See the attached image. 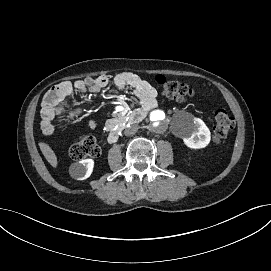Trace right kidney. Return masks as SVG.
I'll return each mask as SVG.
<instances>
[{"instance_id": "ca27d5eb", "label": "right kidney", "mask_w": 271, "mask_h": 271, "mask_svg": "<svg viewBox=\"0 0 271 271\" xmlns=\"http://www.w3.org/2000/svg\"><path fill=\"white\" fill-rule=\"evenodd\" d=\"M93 167L91 159H85L80 162H74L69 166L71 177L77 180H84L90 176Z\"/></svg>"}]
</instances>
